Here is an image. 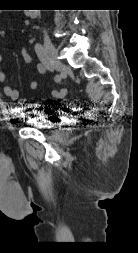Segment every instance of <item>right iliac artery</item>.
I'll use <instances>...</instances> for the list:
<instances>
[{
  "instance_id": "right-iliac-artery-1",
  "label": "right iliac artery",
  "mask_w": 138,
  "mask_h": 253,
  "mask_svg": "<svg viewBox=\"0 0 138 253\" xmlns=\"http://www.w3.org/2000/svg\"><path fill=\"white\" fill-rule=\"evenodd\" d=\"M35 52L38 56V58L40 59L41 63L49 70L53 71V66H52V62L46 52V50L44 49V47L40 44L37 43L35 45ZM54 81L55 82H59L60 81V76L58 74H56L54 76Z\"/></svg>"
}]
</instances>
